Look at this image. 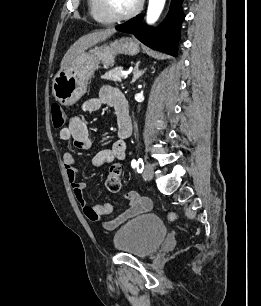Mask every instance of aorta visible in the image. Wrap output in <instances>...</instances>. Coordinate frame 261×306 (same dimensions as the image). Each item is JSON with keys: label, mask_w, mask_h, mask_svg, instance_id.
I'll use <instances>...</instances> for the list:
<instances>
[{"label": "aorta", "mask_w": 261, "mask_h": 306, "mask_svg": "<svg viewBox=\"0 0 261 306\" xmlns=\"http://www.w3.org/2000/svg\"><path fill=\"white\" fill-rule=\"evenodd\" d=\"M166 0H149L147 10V23H155L162 13Z\"/></svg>", "instance_id": "1"}]
</instances>
